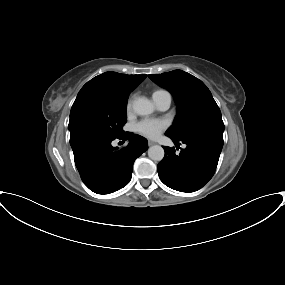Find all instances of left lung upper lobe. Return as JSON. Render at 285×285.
Masks as SVG:
<instances>
[{
	"instance_id": "1",
	"label": "left lung upper lobe",
	"mask_w": 285,
	"mask_h": 285,
	"mask_svg": "<svg viewBox=\"0 0 285 285\" xmlns=\"http://www.w3.org/2000/svg\"><path fill=\"white\" fill-rule=\"evenodd\" d=\"M159 86L167 88L177 103V115L166 135L177 140L202 134L223 138L221 112L206 85L182 70L149 75Z\"/></svg>"
}]
</instances>
